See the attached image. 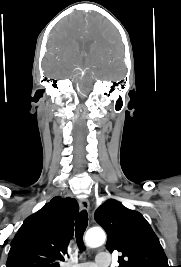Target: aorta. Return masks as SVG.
Masks as SVG:
<instances>
[{"mask_svg":"<svg viewBox=\"0 0 181 267\" xmlns=\"http://www.w3.org/2000/svg\"><path fill=\"white\" fill-rule=\"evenodd\" d=\"M106 241V234L102 229H89L85 234V244L90 248L103 245Z\"/></svg>","mask_w":181,"mask_h":267,"instance_id":"aorta-1","label":"aorta"}]
</instances>
